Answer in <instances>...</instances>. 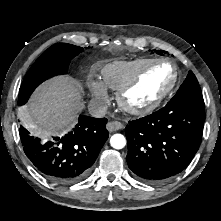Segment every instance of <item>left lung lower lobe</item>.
Listing matches in <instances>:
<instances>
[{
  "mask_svg": "<svg viewBox=\"0 0 221 221\" xmlns=\"http://www.w3.org/2000/svg\"><path fill=\"white\" fill-rule=\"evenodd\" d=\"M205 116V112L168 103L130 121L125 128L130 170L149 183H162L182 172L199 149Z\"/></svg>",
  "mask_w": 221,
  "mask_h": 221,
  "instance_id": "0a47b994",
  "label": "left lung lower lobe"
}]
</instances>
